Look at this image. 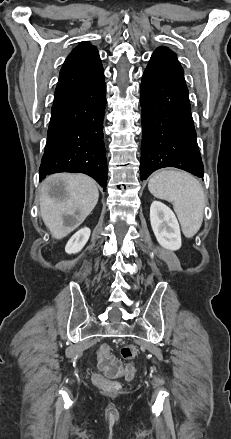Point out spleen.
I'll use <instances>...</instances> for the list:
<instances>
[{
    "label": "spleen",
    "instance_id": "obj_1",
    "mask_svg": "<svg viewBox=\"0 0 231 439\" xmlns=\"http://www.w3.org/2000/svg\"><path fill=\"white\" fill-rule=\"evenodd\" d=\"M148 189L155 197L173 204L186 237L198 232L203 222L205 195L196 178L184 172L163 170L150 178Z\"/></svg>",
    "mask_w": 231,
    "mask_h": 439
}]
</instances>
